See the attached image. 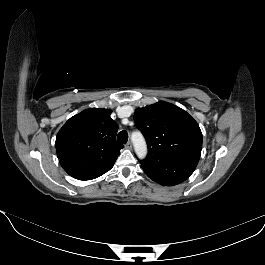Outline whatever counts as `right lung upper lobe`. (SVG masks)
<instances>
[{"label":"right lung upper lobe","mask_w":265,"mask_h":265,"mask_svg":"<svg viewBox=\"0 0 265 265\" xmlns=\"http://www.w3.org/2000/svg\"><path fill=\"white\" fill-rule=\"evenodd\" d=\"M110 109L90 108L70 118L56 137L57 156L74 178L99 177L109 171L120 149L118 125Z\"/></svg>","instance_id":"obj_1"}]
</instances>
